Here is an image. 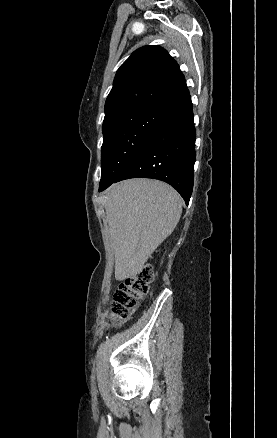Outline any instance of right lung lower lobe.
Instances as JSON below:
<instances>
[{
    "instance_id": "right-lung-lower-lobe-1",
    "label": "right lung lower lobe",
    "mask_w": 277,
    "mask_h": 438,
    "mask_svg": "<svg viewBox=\"0 0 277 438\" xmlns=\"http://www.w3.org/2000/svg\"><path fill=\"white\" fill-rule=\"evenodd\" d=\"M196 132L189 94L173 103L162 116L144 145L111 182L129 178H153L173 186L188 205L193 189Z\"/></svg>"
}]
</instances>
